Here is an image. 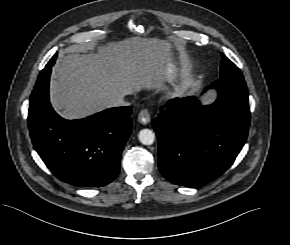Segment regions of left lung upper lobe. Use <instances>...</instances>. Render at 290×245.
Instances as JSON below:
<instances>
[{"instance_id":"left-lung-upper-lobe-1","label":"left lung upper lobe","mask_w":290,"mask_h":245,"mask_svg":"<svg viewBox=\"0 0 290 245\" xmlns=\"http://www.w3.org/2000/svg\"><path fill=\"white\" fill-rule=\"evenodd\" d=\"M220 78H243L240 69L225 55H222Z\"/></svg>"}]
</instances>
